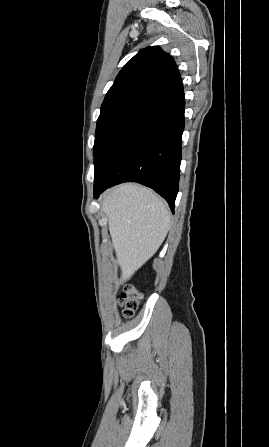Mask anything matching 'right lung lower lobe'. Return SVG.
<instances>
[{
  "instance_id": "right-lung-lower-lobe-1",
  "label": "right lung lower lobe",
  "mask_w": 269,
  "mask_h": 447,
  "mask_svg": "<svg viewBox=\"0 0 269 447\" xmlns=\"http://www.w3.org/2000/svg\"><path fill=\"white\" fill-rule=\"evenodd\" d=\"M184 109L179 82L126 116L94 161V197L116 184L138 182L165 198L174 212Z\"/></svg>"
}]
</instances>
